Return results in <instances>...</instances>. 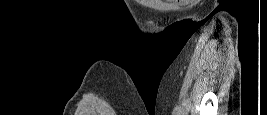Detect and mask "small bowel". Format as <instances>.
Returning <instances> with one entry per match:
<instances>
[{
	"label": "small bowel",
	"mask_w": 267,
	"mask_h": 115,
	"mask_svg": "<svg viewBox=\"0 0 267 115\" xmlns=\"http://www.w3.org/2000/svg\"><path fill=\"white\" fill-rule=\"evenodd\" d=\"M177 2H180V3H189V4H192V3H195L196 1L195 0H180V1H177Z\"/></svg>",
	"instance_id": "1"
}]
</instances>
